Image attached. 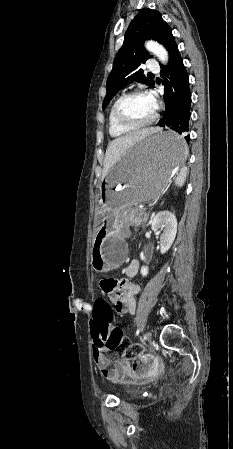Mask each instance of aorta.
<instances>
[{
    "label": "aorta",
    "instance_id": "1",
    "mask_svg": "<svg viewBox=\"0 0 233 449\" xmlns=\"http://www.w3.org/2000/svg\"><path fill=\"white\" fill-rule=\"evenodd\" d=\"M146 49L154 54L162 63L166 64L168 62V52L166 49L157 42L148 41L145 44Z\"/></svg>",
    "mask_w": 233,
    "mask_h": 449
}]
</instances>
